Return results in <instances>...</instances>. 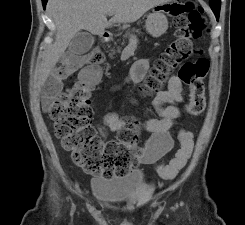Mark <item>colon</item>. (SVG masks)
<instances>
[{
	"label": "colon",
	"instance_id": "colon-1",
	"mask_svg": "<svg viewBox=\"0 0 245 225\" xmlns=\"http://www.w3.org/2000/svg\"><path fill=\"white\" fill-rule=\"evenodd\" d=\"M175 40L156 61L146 81L139 85L145 93L159 91L172 69L181 66L180 78L190 87V97L186 110L190 115H198L205 107L203 79L209 63L205 59L187 61L193 53L191 38L199 39L204 35V24L199 8L193 3L176 5ZM98 64L103 59L99 51L69 57L58 71L47 81V89L56 94V101L49 112L55 125V135L63 147L71 153L76 165L88 173L103 177L125 175L133 165V155L141 152V129L136 124L125 126L118 133L117 141H109L102 146L92 126L90 106V87L87 83L91 74L84 72L75 82L64 85L76 72L83 58ZM193 149L192 137L185 133L181 137L180 148L173 159L160 165L158 171L165 179H173L186 165Z\"/></svg>",
	"mask_w": 245,
	"mask_h": 225
}]
</instances>
